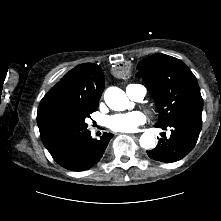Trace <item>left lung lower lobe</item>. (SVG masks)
Instances as JSON below:
<instances>
[{"mask_svg": "<svg viewBox=\"0 0 221 221\" xmlns=\"http://www.w3.org/2000/svg\"><path fill=\"white\" fill-rule=\"evenodd\" d=\"M202 112H192L173 118L166 125H157L165 130L172 128L170 138L162 133L158 145L153 150L147 151L148 156L156 161L170 163L184 158L195 146L201 128Z\"/></svg>", "mask_w": 221, "mask_h": 221, "instance_id": "1", "label": "left lung lower lobe"}]
</instances>
